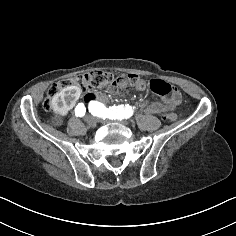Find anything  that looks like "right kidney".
Segmentation results:
<instances>
[{
  "instance_id": "obj_1",
  "label": "right kidney",
  "mask_w": 236,
  "mask_h": 236,
  "mask_svg": "<svg viewBox=\"0 0 236 236\" xmlns=\"http://www.w3.org/2000/svg\"><path fill=\"white\" fill-rule=\"evenodd\" d=\"M80 94L81 89L79 87L68 86L51 99L52 112L49 114V121L55 130L62 131L65 129V114L70 111L71 106L75 104Z\"/></svg>"
}]
</instances>
